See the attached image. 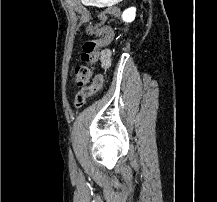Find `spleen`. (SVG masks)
Here are the masks:
<instances>
[{"label":"spleen","mask_w":217,"mask_h":202,"mask_svg":"<svg viewBox=\"0 0 217 202\" xmlns=\"http://www.w3.org/2000/svg\"><path fill=\"white\" fill-rule=\"evenodd\" d=\"M85 5H94V7H109V5H120V0H85Z\"/></svg>","instance_id":"1"}]
</instances>
